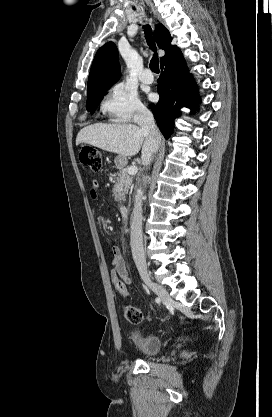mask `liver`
Segmentation results:
<instances>
[{"mask_svg":"<svg viewBox=\"0 0 272 417\" xmlns=\"http://www.w3.org/2000/svg\"><path fill=\"white\" fill-rule=\"evenodd\" d=\"M161 137L156 138L134 124H93L81 129L76 137V145L87 143L119 155H136L141 147L142 164L147 166L153 153L157 151Z\"/></svg>","mask_w":272,"mask_h":417,"instance_id":"6515ba94","label":"liver"}]
</instances>
